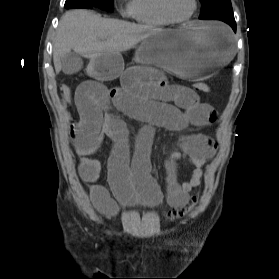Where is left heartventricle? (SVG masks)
I'll return each mask as SVG.
<instances>
[{
	"mask_svg": "<svg viewBox=\"0 0 279 279\" xmlns=\"http://www.w3.org/2000/svg\"><path fill=\"white\" fill-rule=\"evenodd\" d=\"M166 7L174 17H186L193 9V0H166Z\"/></svg>",
	"mask_w": 279,
	"mask_h": 279,
	"instance_id": "1",
	"label": "left heart ventricle"
}]
</instances>
